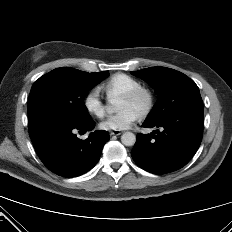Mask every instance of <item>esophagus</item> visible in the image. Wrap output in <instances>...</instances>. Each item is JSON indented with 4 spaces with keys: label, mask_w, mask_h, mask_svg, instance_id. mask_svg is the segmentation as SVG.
<instances>
[{
    "label": "esophagus",
    "mask_w": 232,
    "mask_h": 232,
    "mask_svg": "<svg viewBox=\"0 0 232 232\" xmlns=\"http://www.w3.org/2000/svg\"><path fill=\"white\" fill-rule=\"evenodd\" d=\"M121 134V131H110V135L111 136H118V135H120Z\"/></svg>",
    "instance_id": "1"
}]
</instances>
